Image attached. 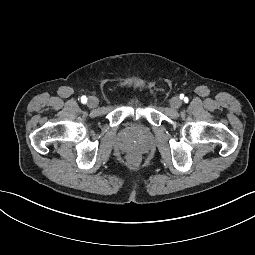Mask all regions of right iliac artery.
Returning a JSON list of instances; mask_svg holds the SVG:
<instances>
[{
    "label": "right iliac artery",
    "instance_id": "82829eb1",
    "mask_svg": "<svg viewBox=\"0 0 255 255\" xmlns=\"http://www.w3.org/2000/svg\"><path fill=\"white\" fill-rule=\"evenodd\" d=\"M81 102H82V103H86V102H87L86 96H82V97H81Z\"/></svg>",
    "mask_w": 255,
    "mask_h": 255
}]
</instances>
